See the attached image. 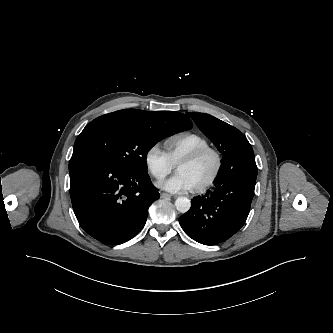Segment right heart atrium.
<instances>
[{"instance_id":"right-heart-atrium-1","label":"right heart atrium","mask_w":333,"mask_h":333,"mask_svg":"<svg viewBox=\"0 0 333 333\" xmlns=\"http://www.w3.org/2000/svg\"><path fill=\"white\" fill-rule=\"evenodd\" d=\"M144 162L147 171L156 180L164 179L174 168V164L166 152L161 150L157 144H153L147 149L144 155Z\"/></svg>"}]
</instances>
